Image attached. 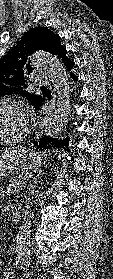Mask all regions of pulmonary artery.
Returning <instances> with one entry per match:
<instances>
[{
	"label": "pulmonary artery",
	"instance_id": "obj_1",
	"mask_svg": "<svg viewBox=\"0 0 113 279\" xmlns=\"http://www.w3.org/2000/svg\"><path fill=\"white\" fill-rule=\"evenodd\" d=\"M34 82L38 85H46L49 82V78L44 74L36 75L34 77Z\"/></svg>",
	"mask_w": 113,
	"mask_h": 279
}]
</instances>
